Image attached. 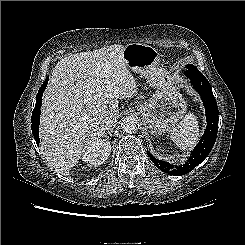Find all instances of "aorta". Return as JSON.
I'll return each mask as SVG.
<instances>
[{
  "label": "aorta",
  "instance_id": "762f6f07",
  "mask_svg": "<svg viewBox=\"0 0 245 245\" xmlns=\"http://www.w3.org/2000/svg\"><path fill=\"white\" fill-rule=\"evenodd\" d=\"M122 129L128 134L135 133L139 128L138 120L135 117H125L122 120Z\"/></svg>",
  "mask_w": 245,
  "mask_h": 245
}]
</instances>
